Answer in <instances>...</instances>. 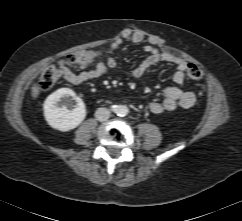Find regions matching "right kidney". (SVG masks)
<instances>
[{"label": "right kidney", "instance_id": "right-kidney-1", "mask_svg": "<svg viewBox=\"0 0 242 221\" xmlns=\"http://www.w3.org/2000/svg\"><path fill=\"white\" fill-rule=\"evenodd\" d=\"M43 109L48 125L63 132L76 128L86 117L84 102L70 88H61L49 95Z\"/></svg>", "mask_w": 242, "mask_h": 221}]
</instances>
